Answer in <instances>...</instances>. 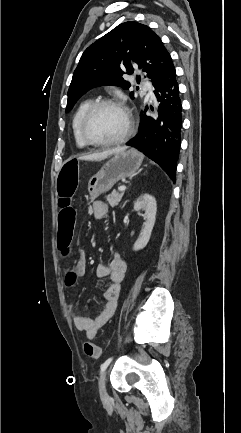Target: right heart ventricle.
Wrapping results in <instances>:
<instances>
[{"label":"right heart ventricle","instance_id":"1","mask_svg":"<svg viewBox=\"0 0 241 433\" xmlns=\"http://www.w3.org/2000/svg\"><path fill=\"white\" fill-rule=\"evenodd\" d=\"M92 103H93L92 99L83 100L82 102H80V104L76 108L75 113L73 115L72 132H73L75 144L79 148H85L88 146V144L85 142V140L82 137L80 125H81V120H82V117H83L85 111L88 109V107Z\"/></svg>","mask_w":241,"mask_h":433}]
</instances>
